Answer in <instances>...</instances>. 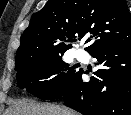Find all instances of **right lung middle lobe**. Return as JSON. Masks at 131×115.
Segmentation results:
<instances>
[{
    "label": "right lung middle lobe",
    "mask_w": 131,
    "mask_h": 115,
    "mask_svg": "<svg viewBox=\"0 0 131 115\" xmlns=\"http://www.w3.org/2000/svg\"><path fill=\"white\" fill-rule=\"evenodd\" d=\"M63 54H36L16 64L18 86L43 100L60 98L79 74L62 60Z\"/></svg>",
    "instance_id": "obj_1"
}]
</instances>
